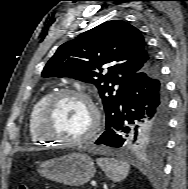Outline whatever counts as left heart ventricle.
Segmentation results:
<instances>
[{"label": "left heart ventricle", "mask_w": 188, "mask_h": 189, "mask_svg": "<svg viewBox=\"0 0 188 189\" xmlns=\"http://www.w3.org/2000/svg\"><path fill=\"white\" fill-rule=\"evenodd\" d=\"M93 116L88 104L78 98L61 99L54 107L48 123L51 134L65 139L83 136L91 127Z\"/></svg>", "instance_id": "b2bd125f"}]
</instances>
